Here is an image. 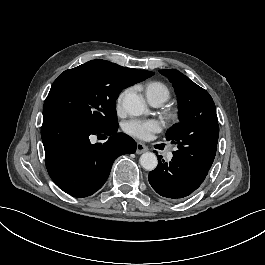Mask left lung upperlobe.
Segmentation results:
<instances>
[{
  "label": "left lung upper lobe",
  "instance_id": "obj_1",
  "mask_svg": "<svg viewBox=\"0 0 265 265\" xmlns=\"http://www.w3.org/2000/svg\"><path fill=\"white\" fill-rule=\"evenodd\" d=\"M173 84L179 102L180 122L166 133L177 144L173 156L207 175L215 158L219 136L216 108L209 93L175 69L159 70Z\"/></svg>",
  "mask_w": 265,
  "mask_h": 265
}]
</instances>
